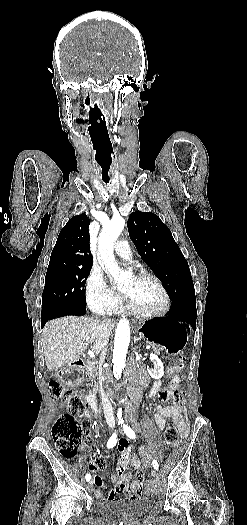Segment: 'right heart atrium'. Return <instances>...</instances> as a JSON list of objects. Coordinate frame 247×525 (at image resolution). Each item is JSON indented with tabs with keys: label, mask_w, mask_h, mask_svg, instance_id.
Returning <instances> with one entry per match:
<instances>
[{
	"label": "right heart atrium",
	"mask_w": 247,
	"mask_h": 525,
	"mask_svg": "<svg viewBox=\"0 0 247 525\" xmlns=\"http://www.w3.org/2000/svg\"><path fill=\"white\" fill-rule=\"evenodd\" d=\"M85 296L88 307L95 314L109 313L114 307L112 292L99 270H93L89 275Z\"/></svg>",
	"instance_id": "1"
}]
</instances>
